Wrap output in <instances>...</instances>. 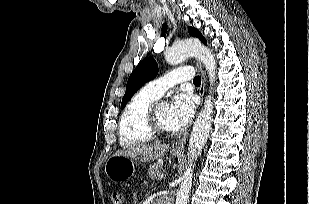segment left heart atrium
Masks as SVG:
<instances>
[{
  "label": "left heart atrium",
  "instance_id": "left-heart-atrium-1",
  "mask_svg": "<svg viewBox=\"0 0 309 204\" xmlns=\"http://www.w3.org/2000/svg\"><path fill=\"white\" fill-rule=\"evenodd\" d=\"M195 101L192 95L180 93L174 96L169 107L168 117L171 130H181L192 120Z\"/></svg>",
  "mask_w": 309,
  "mask_h": 204
}]
</instances>
